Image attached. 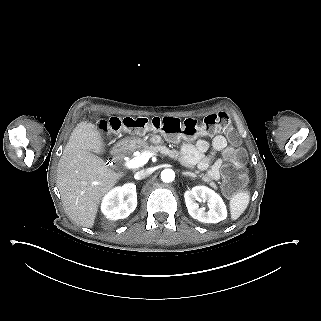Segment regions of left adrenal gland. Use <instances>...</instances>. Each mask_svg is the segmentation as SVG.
I'll use <instances>...</instances> for the list:
<instances>
[{
	"mask_svg": "<svg viewBox=\"0 0 321 321\" xmlns=\"http://www.w3.org/2000/svg\"><path fill=\"white\" fill-rule=\"evenodd\" d=\"M182 174L183 175H185V176H190V177H193V178H195L196 176H195V174L194 173H192V172H182Z\"/></svg>",
	"mask_w": 321,
	"mask_h": 321,
	"instance_id": "1",
	"label": "left adrenal gland"
}]
</instances>
